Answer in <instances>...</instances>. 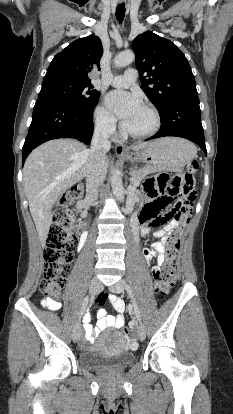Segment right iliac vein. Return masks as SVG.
Segmentation results:
<instances>
[{
    "label": "right iliac vein",
    "mask_w": 233,
    "mask_h": 414,
    "mask_svg": "<svg viewBox=\"0 0 233 414\" xmlns=\"http://www.w3.org/2000/svg\"><path fill=\"white\" fill-rule=\"evenodd\" d=\"M101 282L99 281V279L97 277H94L91 282H90V286H89V290L91 294H97L100 290H101ZM81 335V324L80 323H76L73 327V331H72V339L74 342H77L80 338Z\"/></svg>",
    "instance_id": "63e3f726"
}]
</instances>
